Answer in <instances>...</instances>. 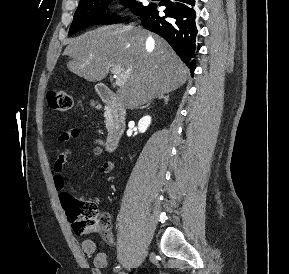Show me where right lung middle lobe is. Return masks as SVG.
I'll return each instance as SVG.
<instances>
[{
  "label": "right lung middle lobe",
  "instance_id": "obj_1",
  "mask_svg": "<svg viewBox=\"0 0 289 274\" xmlns=\"http://www.w3.org/2000/svg\"><path fill=\"white\" fill-rule=\"evenodd\" d=\"M111 1L112 0H80L70 27L69 35H73L91 25L118 23L119 18H113L105 14L107 6ZM121 3L130 7L137 15H140L146 8V6L141 5L135 0H121Z\"/></svg>",
  "mask_w": 289,
  "mask_h": 274
}]
</instances>
